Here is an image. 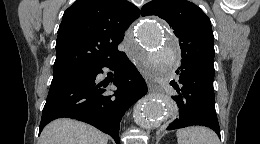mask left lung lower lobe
Masks as SVG:
<instances>
[{
  "mask_svg": "<svg viewBox=\"0 0 260 144\" xmlns=\"http://www.w3.org/2000/svg\"><path fill=\"white\" fill-rule=\"evenodd\" d=\"M180 69L177 71L180 73L179 83H170L179 95L173 97L176 102L174 116L167 129L202 125L210 127L220 137L215 111L214 76L187 64H181Z\"/></svg>",
  "mask_w": 260,
  "mask_h": 144,
  "instance_id": "1",
  "label": "left lung lower lobe"
}]
</instances>
